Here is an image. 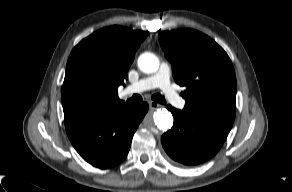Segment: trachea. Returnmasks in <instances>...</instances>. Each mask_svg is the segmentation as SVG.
Wrapping results in <instances>:
<instances>
[{
  "instance_id": "trachea-1",
  "label": "trachea",
  "mask_w": 292,
  "mask_h": 192,
  "mask_svg": "<svg viewBox=\"0 0 292 192\" xmlns=\"http://www.w3.org/2000/svg\"><path fill=\"white\" fill-rule=\"evenodd\" d=\"M152 99L161 104H164L166 102L164 96L160 94H154L152 96ZM142 101H143L142 97L138 94H134L131 98L128 99L129 103H140Z\"/></svg>"
}]
</instances>
